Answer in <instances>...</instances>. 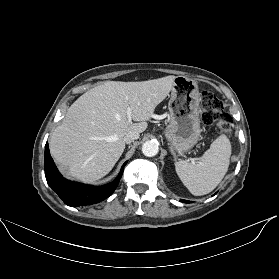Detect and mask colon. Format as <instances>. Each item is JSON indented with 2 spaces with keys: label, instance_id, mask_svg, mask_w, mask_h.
Masks as SVG:
<instances>
[{
  "label": "colon",
  "instance_id": "obj_1",
  "mask_svg": "<svg viewBox=\"0 0 279 279\" xmlns=\"http://www.w3.org/2000/svg\"><path fill=\"white\" fill-rule=\"evenodd\" d=\"M201 118L205 125H214L221 133L229 134L232 131V117L224 110L222 102L209 90L202 92Z\"/></svg>",
  "mask_w": 279,
  "mask_h": 279
}]
</instances>
